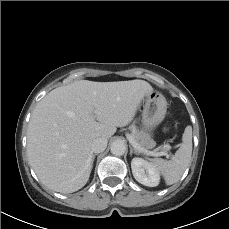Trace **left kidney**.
<instances>
[{
  "label": "left kidney",
  "mask_w": 229,
  "mask_h": 229,
  "mask_svg": "<svg viewBox=\"0 0 229 229\" xmlns=\"http://www.w3.org/2000/svg\"><path fill=\"white\" fill-rule=\"evenodd\" d=\"M132 174L139 183L155 187L159 184V172L146 160L133 158L131 161Z\"/></svg>",
  "instance_id": "1"
}]
</instances>
